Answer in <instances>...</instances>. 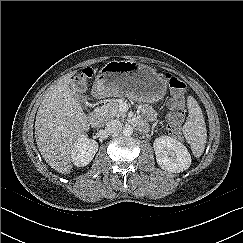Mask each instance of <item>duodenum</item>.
I'll list each match as a JSON object with an SVG mask.
<instances>
[{"mask_svg": "<svg viewBox=\"0 0 243 243\" xmlns=\"http://www.w3.org/2000/svg\"><path fill=\"white\" fill-rule=\"evenodd\" d=\"M88 121L94 127L99 126L102 123V116L100 112L97 110L90 111L88 114ZM139 126L142 129H146V125L144 123H140Z\"/></svg>", "mask_w": 243, "mask_h": 243, "instance_id": "1", "label": "duodenum"}]
</instances>
